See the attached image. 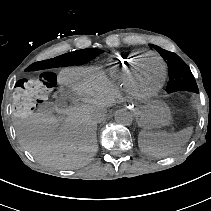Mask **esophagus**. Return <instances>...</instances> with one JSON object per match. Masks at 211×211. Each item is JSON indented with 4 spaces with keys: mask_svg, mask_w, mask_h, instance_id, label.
<instances>
[{
    "mask_svg": "<svg viewBox=\"0 0 211 211\" xmlns=\"http://www.w3.org/2000/svg\"><path fill=\"white\" fill-rule=\"evenodd\" d=\"M123 107L128 112H131V111L136 112L139 109L138 104L134 102H129V101L124 102Z\"/></svg>",
    "mask_w": 211,
    "mask_h": 211,
    "instance_id": "34e87169",
    "label": "esophagus"
}]
</instances>
